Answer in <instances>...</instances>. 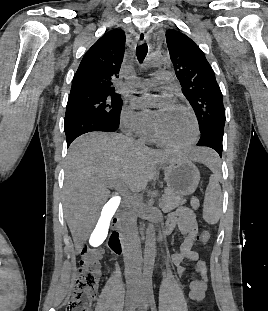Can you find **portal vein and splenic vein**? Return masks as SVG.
I'll list each match as a JSON object with an SVG mask.
<instances>
[{
  "instance_id": "obj_1",
  "label": "portal vein and splenic vein",
  "mask_w": 268,
  "mask_h": 311,
  "mask_svg": "<svg viewBox=\"0 0 268 311\" xmlns=\"http://www.w3.org/2000/svg\"><path fill=\"white\" fill-rule=\"evenodd\" d=\"M111 186H114L116 189H118V190H120V191H122V192L125 191L122 184L112 183ZM116 199H117V197H114L112 200H116Z\"/></svg>"
}]
</instances>
